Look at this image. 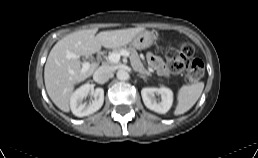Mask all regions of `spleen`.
Returning <instances> with one entry per match:
<instances>
[{"label": "spleen", "mask_w": 258, "mask_h": 158, "mask_svg": "<svg viewBox=\"0 0 258 158\" xmlns=\"http://www.w3.org/2000/svg\"><path fill=\"white\" fill-rule=\"evenodd\" d=\"M203 89V82L182 86L178 91V103L174 114L180 115L190 110L201 96Z\"/></svg>", "instance_id": "1"}]
</instances>
